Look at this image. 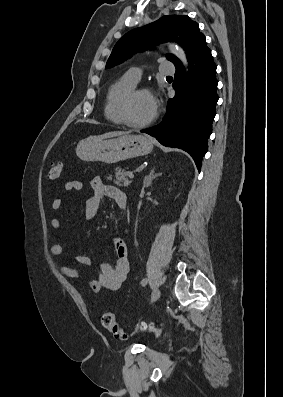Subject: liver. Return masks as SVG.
Returning a JSON list of instances; mask_svg holds the SVG:
<instances>
[{
  "label": "liver",
  "mask_w": 283,
  "mask_h": 397,
  "mask_svg": "<svg viewBox=\"0 0 283 397\" xmlns=\"http://www.w3.org/2000/svg\"><path fill=\"white\" fill-rule=\"evenodd\" d=\"M128 133H129V132L114 131V132H108V133H105V134H103V135L94 136V137H90V138L103 140V139L110 138V137L121 136V135H127Z\"/></svg>",
  "instance_id": "liver-1"
}]
</instances>
